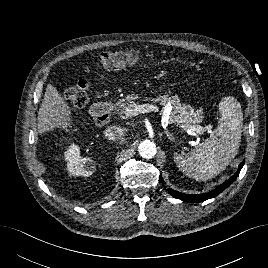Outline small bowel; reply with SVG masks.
<instances>
[{"mask_svg": "<svg viewBox=\"0 0 268 268\" xmlns=\"http://www.w3.org/2000/svg\"><path fill=\"white\" fill-rule=\"evenodd\" d=\"M85 70L89 71V68L86 67ZM99 78H100V80H102L104 82H111L112 81V78L104 73H99Z\"/></svg>", "mask_w": 268, "mask_h": 268, "instance_id": "c3829d8e", "label": "small bowel"}]
</instances>
